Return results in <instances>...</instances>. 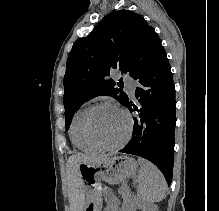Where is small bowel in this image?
<instances>
[{"mask_svg":"<svg viewBox=\"0 0 219 211\" xmlns=\"http://www.w3.org/2000/svg\"><path fill=\"white\" fill-rule=\"evenodd\" d=\"M106 211H118V205L115 198L112 195H108V207Z\"/></svg>","mask_w":219,"mask_h":211,"instance_id":"small-bowel-1","label":"small bowel"}]
</instances>
